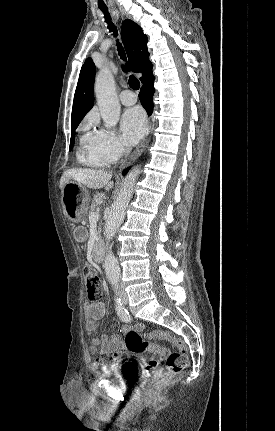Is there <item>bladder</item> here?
<instances>
[{
    "instance_id": "1",
    "label": "bladder",
    "mask_w": 275,
    "mask_h": 431,
    "mask_svg": "<svg viewBox=\"0 0 275 431\" xmlns=\"http://www.w3.org/2000/svg\"><path fill=\"white\" fill-rule=\"evenodd\" d=\"M131 364L127 363H119L115 365L109 366L105 371L101 372L99 376L101 377H115L121 380L122 382H127L128 373L132 372Z\"/></svg>"
}]
</instances>
